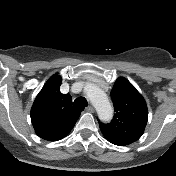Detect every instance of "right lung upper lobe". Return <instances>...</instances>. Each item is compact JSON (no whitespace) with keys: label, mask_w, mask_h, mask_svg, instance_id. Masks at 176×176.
Here are the masks:
<instances>
[{"label":"right lung upper lobe","mask_w":176,"mask_h":176,"mask_svg":"<svg viewBox=\"0 0 176 176\" xmlns=\"http://www.w3.org/2000/svg\"><path fill=\"white\" fill-rule=\"evenodd\" d=\"M61 81L57 74L47 81L37 95L30 114L36 134L49 141L65 137L84 110L74 106L69 94L60 92Z\"/></svg>","instance_id":"cb5924a9"}]
</instances>
